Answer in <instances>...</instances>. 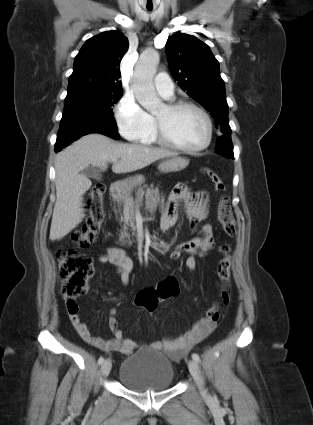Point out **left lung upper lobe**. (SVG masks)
<instances>
[{
	"instance_id": "5c2ea615",
	"label": "left lung upper lobe",
	"mask_w": 313,
	"mask_h": 425,
	"mask_svg": "<svg viewBox=\"0 0 313 425\" xmlns=\"http://www.w3.org/2000/svg\"><path fill=\"white\" fill-rule=\"evenodd\" d=\"M165 50L178 85L210 112L224 135L229 134L225 84L209 46L192 35L178 33L168 38ZM216 150L233 157L231 139L217 143Z\"/></svg>"
}]
</instances>
